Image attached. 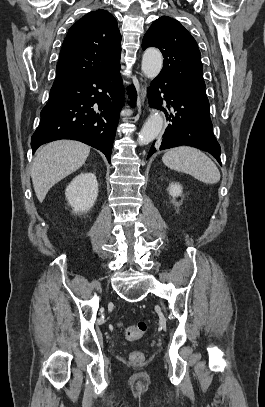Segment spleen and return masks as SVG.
I'll use <instances>...</instances> for the list:
<instances>
[{
	"label": "spleen",
	"instance_id": "obj_1",
	"mask_svg": "<svg viewBox=\"0 0 265 407\" xmlns=\"http://www.w3.org/2000/svg\"><path fill=\"white\" fill-rule=\"evenodd\" d=\"M162 161L168 168L190 174L207 184L220 180V172L215 163L205 153L193 147L172 148L164 154Z\"/></svg>",
	"mask_w": 265,
	"mask_h": 407
}]
</instances>
